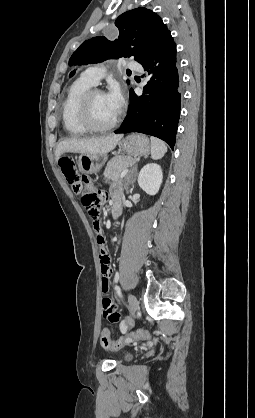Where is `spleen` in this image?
<instances>
[{"label": "spleen", "mask_w": 255, "mask_h": 418, "mask_svg": "<svg viewBox=\"0 0 255 418\" xmlns=\"http://www.w3.org/2000/svg\"><path fill=\"white\" fill-rule=\"evenodd\" d=\"M151 158L154 160L161 159L167 152V146L164 141L156 137H151Z\"/></svg>", "instance_id": "spleen-1"}]
</instances>
